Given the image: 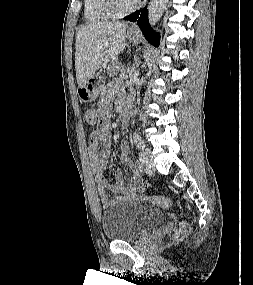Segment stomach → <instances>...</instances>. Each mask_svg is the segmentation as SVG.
<instances>
[{
  "label": "stomach",
  "mask_w": 253,
  "mask_h": 285,
  "mask_svg": "<svg viewBox=\"0 0 253 285\" xmlns=\"http://www.w3.org/2000/svg\"><path fill=\"white\" fill-rule=\"evenodd\" d=\"M127 38L134 44H137L140 40L138 33L132 31L127 32ZM103 85V77L100 74H94L84 84L78 87V97L83 102H92L98 97Z\"/></svg>",
  "instance_id": "1"
}]
</instances>
